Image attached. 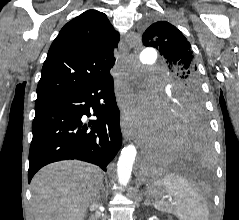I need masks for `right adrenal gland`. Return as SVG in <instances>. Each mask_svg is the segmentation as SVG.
I'll list each match as a JSON object with an SVG mask.
<instances>
[{
  "mask_svg": "<svg viewBox=\"0 0 239 220\" xmlns=\"http://www.w3.org/2000/svg\"><path fill=\"white\" fill-rule=\"evenodd\" d=\"M100 190H101V193H102V195L101 196H103V194H104V192H105V187H104V184L103 183H101L100 184V187L98 188V190H97V197H98V199L101 197L100 196Z\"/></svg>",
  "mask_w": 239,
  "mask_h": 220,
  "instance_id": "right-adrenal-gland-1",
  "label": "right adrenal gland"
}]
</instances>
